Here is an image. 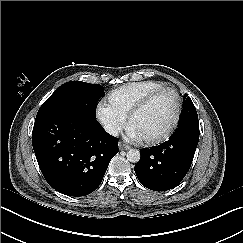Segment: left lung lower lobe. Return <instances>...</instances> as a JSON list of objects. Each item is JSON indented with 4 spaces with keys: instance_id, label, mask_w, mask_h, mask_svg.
<instances>
[{
    "instance_id": "0a47b994",
    "label": "left lung lower lobe",
    "mask_w": 243,
    "mask_h": 243,
    "mask_svg": "<svg viewBox=\"0 0 243 243\" xmlns=\"http://www.w3.org/2000/svg\"><path fill=\"white\" fill-rule=\"evenodd\" d=\"M199 141V122L179 126L169 141L140 150L134 170L140 183L153 191L170 190L183 180L190 169Z\"/></svg>"
}]
</instances>
